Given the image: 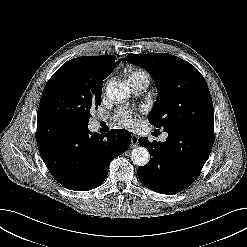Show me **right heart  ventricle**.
<instances>
[{"label":"right heart ventricle","instance_id":"obj_1","mask_svg":"<svg viewBox=\"0 0 247 247\" xmlns=\"http://www.w3.org/2000/svg\"><path fill=\"white\" fill-rule=\"evenodd\" d=\"M127 72L129 80L140 75H148L145 71L140 69H129Z\"/></svg>","mask_w":247,"mask_h":247}]
</instances>
